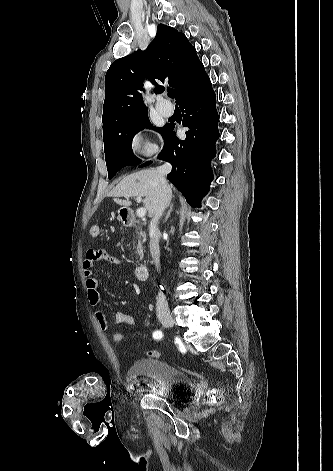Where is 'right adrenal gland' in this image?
<instances>
[{
	"instance_id": "1",
	"label": "right adrenal gland",
	"mask_w": 333,
	"mask_h": 471,
	"mask_svg": "<svg viewBox=\"0 0 333 471\" xmlns=\"http://www.w3.org/2000/svg\"><path fill=\"white\" fill-rule=\"evenodd\" d=\"M172 210H173V204L170 205V208H169L168 212L166 213L164 222H166V221L168 220V218L170 217V214H171Z\"/></svg>"
}]
</instances>
